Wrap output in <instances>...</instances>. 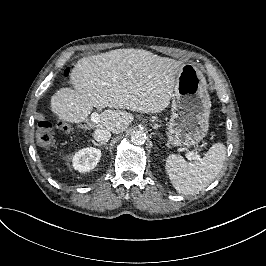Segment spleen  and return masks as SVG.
Instances as JSON below:
<instances>
[{
	"instance_id": "spleen-1",
	"label": "spleen",
	"mask_w": 266,
	"mask_h": 266,
	"mask_svg": "<svg viewBox=\"0 0 266 266\" xmlns=\"http://www.w3.org/2000/svg\"><path fill=\"white\" fill-rule=\"evenodd\" d=\"M225 156V145L217 142L196 163L187 162L179 154H169L164 168L177 193L197 194L207 188L219 176L224 165Z\"/></svg>"
}]
</instances>
